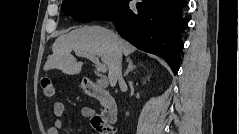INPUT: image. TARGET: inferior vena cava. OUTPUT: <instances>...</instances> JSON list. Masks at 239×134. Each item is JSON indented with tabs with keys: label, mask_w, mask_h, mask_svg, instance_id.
<instances>
[{
	"label": "inferior vena cava",
	"mask_w": 239,
	"mask_h": 134,
	"mask_svg": "<svg viewBox=\"0 0 239 134\" xmlns=\"http://www.w3.org/2000/svg\"><path fill=\"white\" fill-rule=\"evenodd\" d=\"M122 53L121 52H117L116 54V65H115V72H116V76L118 78L119 83L123 82V78H122Z\"/></svg>",
	"instance_id": "1"
}]
</instances>
